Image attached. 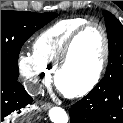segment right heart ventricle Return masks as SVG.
I'll return each mask as SVG.
<instances>
[{"label": "right heart ventricle", "instance_id": "obj_1", "mask_svg": "<svg viewBox=\"0 0 123 123\" xmlns=\"http://www.w3.org/2000/svg\"><path fill=\"white\" fill-rule=\"evenodd\" d=\"M86 22L88 19L76 17L54 23L35 39L33 55L45 69L53 71L69 36Z\"/></svg>", "mask_w": 123, "mask_h": 123}]
</instances>
